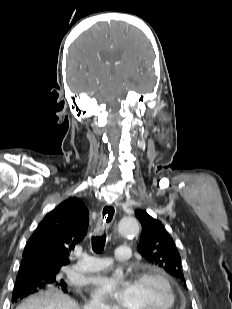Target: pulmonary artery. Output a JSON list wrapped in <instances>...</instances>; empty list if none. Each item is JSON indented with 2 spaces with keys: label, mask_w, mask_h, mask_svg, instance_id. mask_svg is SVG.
Wrapping results in <instances>:
<instances>
[{
  "label": "pulmonary artery",
  "mask_w": 232,
  "mask_h": 309,
  "mask_svg": "<svg viewBox=\"0 0 232 309\" xmlns=\"http://www.w3.org/2000/svg\"><path fill=\"white\" fill-rule=\"evenodd\" d=\"M132 252L128 246H118L115 249V256L118 260L126 261L131 258ZM111 265L107 257H92L82 255L79 262L72 266V269L79 273H91L103 270Z\"/></svg>",
  "instance_id": "obj_1"
}]
</instances>
